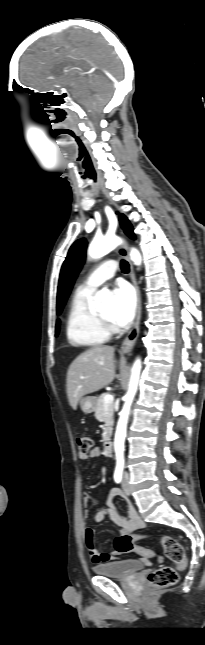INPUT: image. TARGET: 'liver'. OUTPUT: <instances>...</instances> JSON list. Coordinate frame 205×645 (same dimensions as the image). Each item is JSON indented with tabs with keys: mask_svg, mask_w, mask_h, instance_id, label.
Here are the masks:
<instances>
[{
	"mask_svg": "<svg viewBox=\"0 0 205 645\" xmlns=\"http://www.w3.org/2000/svg\"><path fill=\"white\" fill-rule=\"evenodd\" d=\"M114 351L111 346H94L71 363L66 387L70 406L74 410L83 396L101 390L114 380Z\"/></svg>",
	"mask_w": 205,
	"mask_h": 645,
	"instance_id": "6515ba94",
	"label": "liver"
}]
</instances>
